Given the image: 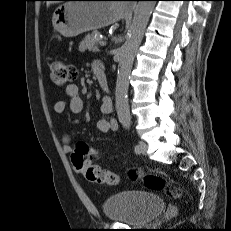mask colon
<instances>
[{
	"mask_svg": "<svg viewBox=\"0 0 231 231\" xmlns=\"http://www.w3.org/2000/svg\"><path fill=\"white\" fill-rule=\"evenodd\" d=\"M50 68L51 80L56 86H68L76 78V69L63 61H53ZM98 155L99 152L91 148L87 143L78 142L72 154V162L78 170L84 172L85 178L88 181L107 185H117L119 183V176L117 174L92 163ZM130 177L136 179L138 173L132 171ZM143 182L151 191H165L171 197H178L180 195L179 188L171 185L157 174H143Z\"/></svg>",
	"mask_w": 231,
	"mask_h": 231,
	"instance_id": "1",
	"label": "colon"
}]
</instances>
